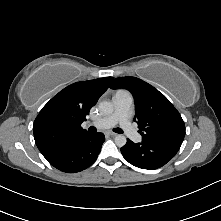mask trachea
<instances>
[{
  "instance_id": "3493384b",
  "label": "trachea",
  "mask_w": 221,
  "mask_h": 221,
  "mask_svg": "<svg viewBox=\"0 0 221 221\" xmlns=\"http://www.w3.org/2000/svg\"><path fill=\"white\" fill-rule=\"evenodd\" d=\"M89 131L90 132H96V128L90 127ZM113 131L116 132V133H120V134L123 133L122 129H120V128H114Z\"/></svg>"
}]
</instances>
